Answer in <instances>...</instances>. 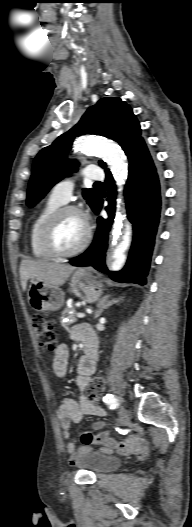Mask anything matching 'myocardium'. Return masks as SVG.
Returning <instances> with one entry per match:
<instances>
[{
	"label": "myocardium",
	"instance_id": "1",
	"mask_svg": "<svg viewBox=\"0 0 192 527\" xmlns=\"http://www.w3.org/2000/svg\"><path fill=\"white\" fill-rule=\"evenodd\" d=\"M68 213H75L79 215L85 223L86 232L80 244L72 250L63 251L56 247L54 243V232L59 220ZM93 235L92 226L86 214L78 207L73 205H65L56 209L46 220L41 231V243L44 250L53 258H69L78 255L84 251L91 242Z\"/></svg>",
	"mask_w": 192,
	"mask_h": 527
}]
</instances>
